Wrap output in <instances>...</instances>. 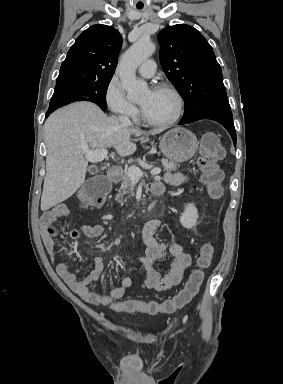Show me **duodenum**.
<instances>
[{
	"label": "duodenum",
	"instance_id": "obj_1",
	"mask_svg": "<svg viewBox=\"0 0 283 384\" xmlns=\"http://www.w3.org/2000/svg\"><path fill=\"white\" fill-rule=\"evenodd\" d=\"M122 168L119 167V166H116V165H113L111 166V168L109 169L108 173L106 174L107 178L111 181V182H117L121 179L122 177ZM102 182L105 183V180L104 179H101ZM107 185L105 184V187ZM162 188L159 184L155 183L151 186V194L152 195H155V196H158V195H161L162 194Z\"/></svg>",
	"mask_w": 283,
	"mask_h": 384
}]
</instances>
